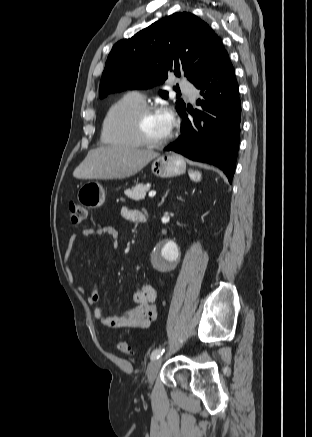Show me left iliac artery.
<instances>
[{
    "label": "left iliac artery",
    "instance_id": "1",
    "mask_svg": "<svg viewBox=\"0 0 312 437\" xmlns=\"http://www.w3.org/2000/svg\"><path fill=\"white\" fill-rule=\"evenodd\" d=\"M164 348L155 349L151 354V360H157L164 353Z\"/></svg>",
    "mask_w": 312,
    "mask_h": 437
}]
</instances>
